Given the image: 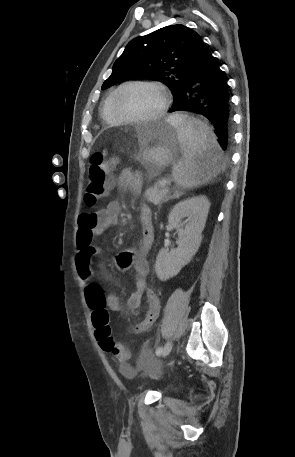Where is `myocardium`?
I'll return each instance as SVG.
<instances>
[{"label":"myocardium","instance_id":"f54148a6","mask_svg":"<svg viewBox=\"0 0 295 457\" xmlns=\"http://www.w3.org/2000/svg\"><path fill=\"white\" fill-rule=\"evenodd\" d=\"M136 85L153 86V87L157 88L160 91L161 96H162V104H161V107L159 108V110L156 113H154L152 115H149V116H146V117H131V116H127V115L123 114L120 111V109L118 107L119 94L125 88L131 87V86H136ZM169 103H170L169 92H168L167 88L162 83H160L158 81H152V80H133V81H129V82L123 83L122 85H120L114 91V94H113V97H112V110H113V113L119 119H121L123 122H126V123H147V122H152V121H156V120L160 119L165 114V112L167 111Z\"/></svg>","mask_w":295,"mask_h":457}]
</instances>
